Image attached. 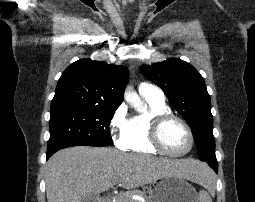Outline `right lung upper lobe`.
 <instances>
[{
  "label": "right lung upper lobe",
  "instance_id": "1",
  "mask_svg": "<svg viewBox=\"0 0 255 202\" xmlns=\"http://www.w3.org/2000/svg\"><path fill=\"white\" fill-rule=\"evenodd\" d=\"M128 77L124 66L78 60L60 77L51 102V114L87 107L118 108Z\"/></svg>",
  "mask_w": 255,
  "mask_h": 202
}]
</instances>
